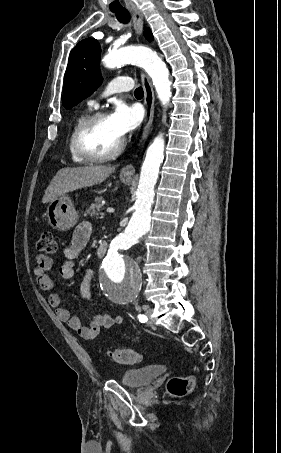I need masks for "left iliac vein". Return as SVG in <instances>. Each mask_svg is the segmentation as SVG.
I'll return each instance as SVG.
<instances>
[{"label":"left iliac vein","instance_id":"1","mask_svg":"<svg viewBox=\"0 0 281 453\" xmlns=\"http://www.w3.org/2000/svg\"><path fill=\"white\" fill-rule=\"evenodd\" d=\"M152 311L153 310H145V316H147V318H149L150 320L147 321V324L148 325H154V320H152V318L150 317V315L152 314Z\"/></svg>","mask_w":281,"mask_h":453}]
</instances>
